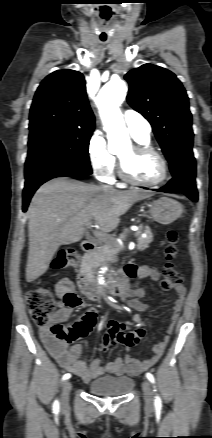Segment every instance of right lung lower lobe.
<instances>
[{
	"mask_svg": "<svg viewBox=\"0 0 212 438\" xmlns=\"http://www.w3.org/2000/svg\"><path fill=\"white\" fill-rule=\"evenodd\" d=\"M92 173L90 164L67 161H30L25 163L23 211L40 185L56 177H84Z\"/></svg>",
	"mask_w": 212,
	"mask_h": 438,
	"instance_id": "right-lung-lower-lobe-1",
	"label": "right lung lower lobe"
}]
</instances>
